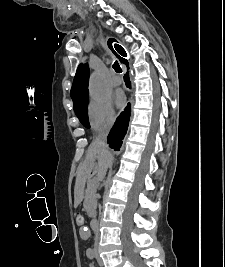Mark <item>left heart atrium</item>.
<instances>
[{
	"mask_svg": "<svg viewBox=\"0 0 225 267\" xmlns=\"http://www.w3.org/2000/svg\"><path fill=\"white\" fill-rule=\"evenodd\" d=\"M116 100H117V104L119 106H123L124 105L125 98H124V96L122 94H118Z\"/></svg>",
	"mask_w": 225,
	"mask_h": 267,
	"instance_id": "left-heart-atrium-1",
	"label": "left heart atrium"
}]
</instances>
